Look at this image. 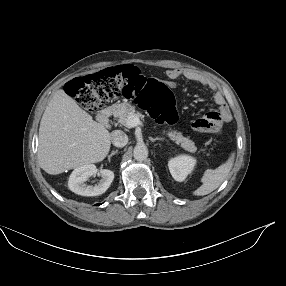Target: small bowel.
Wrapping results in <instances>:
<instances>
[{
  "label": "small bowel",
  "mask_w": 286,
  "mask_h": 286,
  "mask_svg": "<svg viewBox=\"0 0 286 286\" xmlns=\"http://www.w3.org/2000/svg\"><path fill=\"white\" fill-rule=\"evenodd\" d=\"M166 76L170 83L179 79H186L199 83L202 87L214 91L213 100L218 106V110L215 113L219 114L223 122H228L231 118L229 107L224 99V96L216 91V87L204 76L190 69L173 68L166 72Z\"/></svg>",
  "instance_id": "small-bowel-1"
}]
</instances>
